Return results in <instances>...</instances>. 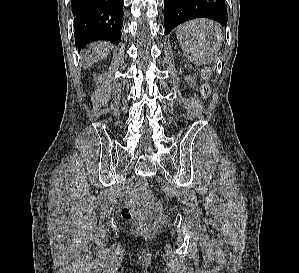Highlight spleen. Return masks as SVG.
Returning a JSON list of instances; mask_svg holds the SVG:
<instances>
[{"label": "spleen", "mask_w": 299, "mask_h": 273, "mask_svg": "<svg viewBox=\"0 0 299 273\" xmlns=\"http://www.w3.org/2000/svg\"><path fill=\"white\" fill-rule=\"evenodd\" d=\"M176 37L185 57L201 66L217 56L223 34L218 23L209 19H195L177 27Z\"/></svg>", "instance_id": "spleen-1"}]
</instances>
